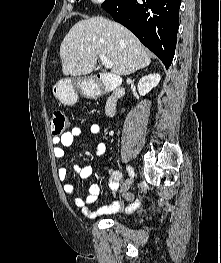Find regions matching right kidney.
<instances>
[{"label": "right kidney", "mask_w": 221, "mask_h": 263, "mask_svg": "<svg viewBox=\"0 0 221 263\" xmlns=\"http://www.w3.org/2000/svg\"><path fill=\"white\" fill-rule=\"evenodd\" d=\"M160 80L161 77L158 73H152L142 77L137 85L139 94L145 96L159 84Z\"/></svg>", "instance_id": "ca27d5eb"}]
</instances>
